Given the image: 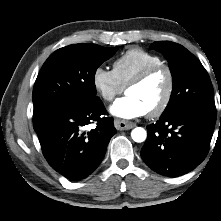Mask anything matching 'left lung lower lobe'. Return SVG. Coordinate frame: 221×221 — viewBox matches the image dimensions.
<instances>
[{
	"label": "left lung lower lobe",
	"mask_w": 221,
	"mask_h": 221,
	"mask_svg": "<svg viewBox=\"0 0 221 221\" xmlns=\"http://www.w3.org/2000/svg\"><path fill=\"white\" fill-rule=\"evenodd\" d=\"M216 119L196 110L161 116L147 126V140L141 150L143 161L164 176L186 174L206 157Z\"/></svg>",
	"instance_id": "1"
}]
</instances>
